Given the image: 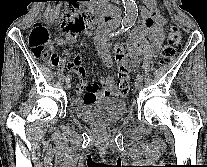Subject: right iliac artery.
<instances>
[{
  "instance_id": "1",
  "label": "right iliac artery",
  "mask_w": 207,
  "mask_h": 167,
  "mask_svg": "<svg viewBox=\"0 0 207 167\" xmlns=\"http://www.w3.org/2000/svg\"><path fill=\"white\" fill-rule=\"evenodd\" d=\"M70 80H71V76L68 75V76L66 77V81H70Z\"/></svg>"
}]
</instances>
